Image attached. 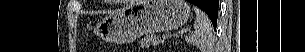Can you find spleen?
Segmentation results:
<instances>
[{"label":"spleen","mask_w":305,"mask_h":52,"mask_svg":"<svg viewBox=\"0 0 305 52\" xmlns=\"http://www.w3.org/2000/svg\"><path fill=\"white\" fill-rule=\"evenodd\" d=\"M196 13V20L194 23V31L185 40L197 46L201 52H213L214 37L212 33V24L208 16L197 6L193 7Z\"/></svg>","instance_id":"3e777b00"}]
</instances>
